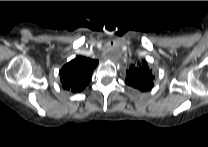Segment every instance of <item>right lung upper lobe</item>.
<instances>
[{"instance_id": "cb5924a9", "label": "right lung upper lobe", "mask_w": 208, "mask_h": 147, "mask_svg": "<svg viewBox=\"0 0 208 147\" xmlns=\"http://www.w3.org/2000/svg\"><path fill=\"white\" fill-rule=\"evenodd\" d=\"M98 65L97 60L78 56L60 70L63 88L73 93L82 91L91 80V75Z\"/></svg>"}]
</instances>
